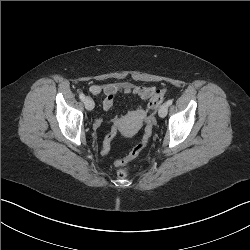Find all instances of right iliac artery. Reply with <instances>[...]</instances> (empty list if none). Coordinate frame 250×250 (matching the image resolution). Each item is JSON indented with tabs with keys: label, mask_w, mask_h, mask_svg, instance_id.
Returning <instances> with one entry per match:
<instances>
[{
	"label": "right iliac artery",
	"mask_w": 250,
	"mask_h": 250,
	"mask_svg": "<svg viewBox=\"0 0 250 250\" xmlns=\"http://www.w3.org/2000/svg\"><path fill=\"white\" fill-rule=\"evenodd\" d=\"M79 98H80L81 100H84V99H85V95H84L83 93H81V94H79Z\"/></svg>",
	"instance_id": "82829eb1"
}]
</instances>
